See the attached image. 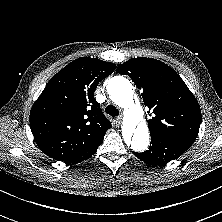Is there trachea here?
<instances>
[{
    "mask_svg": "<svg viewBox=\"0 0 222 222\" xmlns=\"http://www.w3.org/2000/svg\"><path fill=\"white\" fill-rule=\"evenodd\" d=\"M105 112L112 116V117H115V116H118L119 115V111L118 109L114 106V105H108L106 108H105Z\"/></svg>",
    "mask_w": 222,
    "mask_h": 222,
    "instance_id": "trachea-1",
    "label": "trachea"
}]
</instances>
